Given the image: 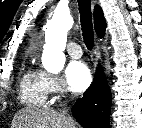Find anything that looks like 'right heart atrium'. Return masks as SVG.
<instances>
[{
    "label": "right heart atrium",
    "mask_w": 142,
    "mask_h": 128,
    "mask_svg": "<svg viewBox=\"0 0 142 128\" xmlns=\"http://www.w3.org/2000/svg\"><path fill=\"white\" fill-rule=\"evenodd\" d=\"M45 90L48 95L59 98L64 95L65 89L61 79L53 74L42 72Z\"/></svg>",
    "instance_id": "right-heart-atrium-1"
}]
</instances>
